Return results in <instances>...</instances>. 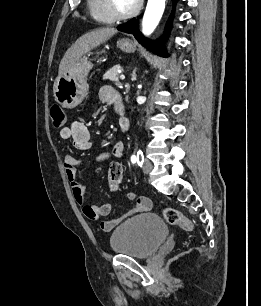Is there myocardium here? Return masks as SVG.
I'll list each match as a JSON object with an SVG mask.
<instances>
[{
  "label": "myocardium",
  "mask_w": 261,
  "mask_h": 306,
  "mask_svg": "<svg viewBox=\"0 0 261 306\" xmlns=\"http://www.w3.org/2000/svg\"><path fill=\"white\" fill-rule=\"evenodd\" d=\"M106 12L113 20H125L135 16L141 9L143 0H138L133 9L128 12L121 13L117 11L113 0H103Z\"/></svg>",
  "instance_id": "obj_1"
}]
</instances>
